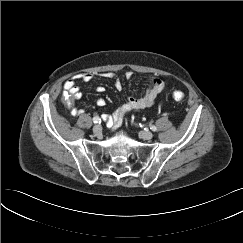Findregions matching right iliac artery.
<instances>
[{
    "label": "right iliac artery",
    "mask_w": 243,
    "mask_h": 243,
    "mask_svg": "<svg viewBox=\"0 0 243 243\" xmlns=\"http://www.w3.org/2000/svg\"><path fill=\"white\" fill-rule=\"evenodd\" d=\"M101 122V119L99 118V116H95L93 118V123L97 124V123H100Z\"/></svg>",
    "instance_id": "1"
}]
</instances>
